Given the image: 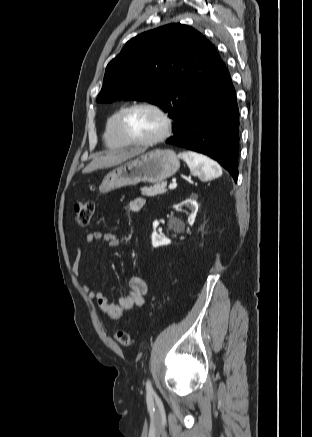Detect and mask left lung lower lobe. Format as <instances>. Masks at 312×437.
Segmentation results:
<instances>
[{
    "label": "left lung lower lobe",
    "mask_w": 312,
    "mask_h": 437,
    "mask_svg": "<svg viewBox=\"0 0 312 437\" xmlns=\"http://www.w3.org/2000/svg\"><path fill=\"white\" fill-rule=\"evenodd\" d=\"M166 143L203 153L218 161L237 181L239 110L225 65L189 104Z\"/></svg>",
    "instance_id": "1"
}]
</instances>
